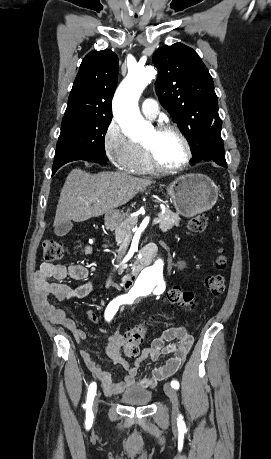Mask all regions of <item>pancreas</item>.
Masks as SVG:
<instances>
[{"mask_svg":"<svg viewBox=\"0 0 271 459\" xmlns=\"http://www.w3.org/2000/svg\"><path fill=\"white\" fill-rule=\"evenodd\" d=\"M158 220H160L159 228H161L162 231H167L170 226H178L177 222H179L180 218L178 214H174V212L166 208L164 214H160ZM136 222V218H127L125 222H122L119 228L115 229L116 241H121L123 245H128L130 243L129 237H131V229L136 226Z\"/></svg>","mask_w":271,"mask_h":459,"instance_id":"pancreas-1","label":"pancreas"}]
</instances>
